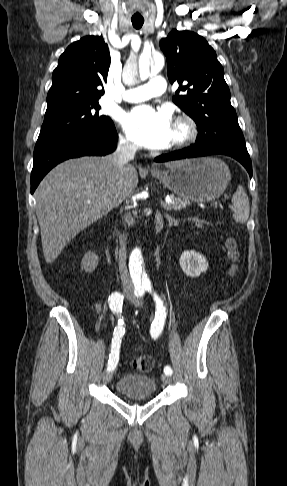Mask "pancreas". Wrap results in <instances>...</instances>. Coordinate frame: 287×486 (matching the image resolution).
<instances>
[{
    "mask_svg": "<svg viewBox=\"0 0 287 486\" xmlns=\"http://www.w3.org/2000/svg\"><path fill=\"white\" fill-rule=\"evenodd\" d=\"M171 199H172V204L169 205L167 208H165L166 210H175V211H179L181 209H185L188 205H190V201L187 200V199H181V198H178V197H175L174 195L171 196ZM134 216H136V214L134 213ZM125 222L128 224V225H132L134 224V217H132L131 214H126L125 215Z\"/></svg>",
    "mask_w": 287,
    "mask_h": 486,
    "instance_id": "obj_1",
    "label": "pancreas"
}]
</instances>
